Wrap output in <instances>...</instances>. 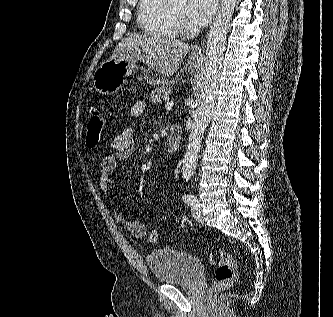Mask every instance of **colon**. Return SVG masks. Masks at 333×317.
<instances>
[{
	"mask_svg": "<svg viewBox=\"0 0 333 317\" xmlns=\"http://www.w3.org/2000/svg\"><path fill=\"white\" fill-rule=\"evenodd\" d=\"M104 127V117L100 108L91 107L86 122V145L89 148H96L102 137ZM158 233L152 230L149 234V241L156 243ZM213 252L219 258V264L215 270L216 290H223L231 287L236 280V266L232 256L220 247H213Z\"/></svg>",
	"mask_w": 333,
	"mask_h": 317,
	"instance_id": "obj_1",
	"label": "colon"
}]
</instances>
